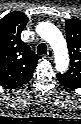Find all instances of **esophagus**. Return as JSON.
<instances>
[{"label":"esophagus","mask_w":81,"mask_h":124,"mask_svg":"<svg viewBox=\"0 0 81 124\" xmlns=\"http://www.w3.org/2000/svg\"><path fill=\"white\" fill-rule=\"evenodd\" d=\"M53 56H54L53 51H52L51 49H49L48 52H47V54H46V57H47L48 59H52Z\"/></svg>","instance_id":"34e87169"}]
</instances>
